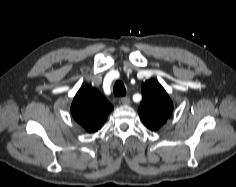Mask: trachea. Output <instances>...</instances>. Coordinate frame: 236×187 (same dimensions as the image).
Returning a JSON list of instances; mask_svg holds the SVG:
<instances>
[{
    "mask_svg": "<svg viewBox=\"0 0 236 187\" xmlns=\"http://www.w3.org/2000/svg\"><path fill=\"white\" fill-rule=\"evenodd\" d=\"M113 92L115 96L122 97L126 95V88L121 81H116L114 84Z\"/></svg>",
    "mask_w": 236,
    "mask_h": 187,
    "instance_id": "obj_1",
    "label": "trachea"
}]
</instances>
